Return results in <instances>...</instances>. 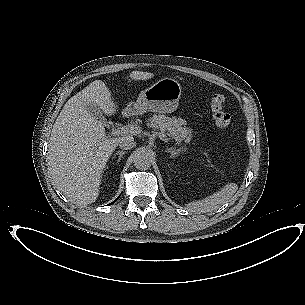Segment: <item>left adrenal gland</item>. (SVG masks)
<instances>
[{"label": "left adrenal gland", "instance_id": "1", "mask_svg": "<svg viewBox=\"0 0 305 305\" xmlns=\"http://www.w3.org/2000/svg\"><path fill=\"white\" fill-rule=\"evenodd\" d=\"M166 152H169L171 154V157L173 158H176L179 156L180 154V151H175V150H172V149H166Z\"/></svg>", "mask_w": 305, "mask_h": 305}]
</instances>
